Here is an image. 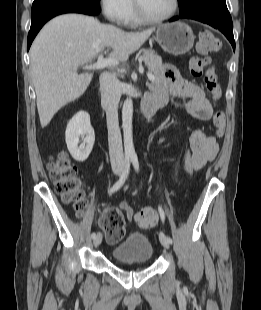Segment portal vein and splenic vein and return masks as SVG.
Returning a JSON list of instances; mask_svg holds the SVG:
<instances>
[{
	"instance_id": "obj_1",
	"label": "portal vein and splenic vein",
	"mask_w": 261,
	"mask_h": 310,
	"mask_svg": "<svg viewBox=\"0 0 261 310\" xmlns=\"http://www.w3.org/2000/svg\"><path fill=\"white\" fill-rule=\"evenodd\" d=\"M116 65H119V61L117 59H115V58L104 59L103 55L101 54L98 57V60L96 63L91 64V65H86L83 69L93 70V69H101L104 67L116 66ZM147 77H148L149 81H151V82L155 81V77L152 75V73L148 72Z\"/></svg>"
}]
</instances>
